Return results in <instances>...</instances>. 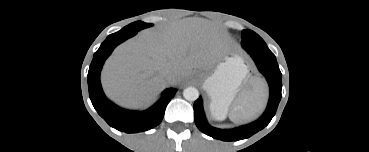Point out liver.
<instances>
[{
	"instance_id": "obj_1",
	"label": "liver",
	"mask_w": 369,
	"mask_h": 152,
	"mask_svg": "<svg viewBox=\"0 0 369 152\" xmlns=\"http://www.w3.org/2000/svg\"><path fill=\"white\" fill-rule=\"evenodd\" d=\"M223 39L220 28L205 19L142 31L120 45L105 63L101 76L105 93L124 107L148 106L167 86L209 65L220 54ZM259 87L263 88L256 84L253 89Z\"/></svg>"
}]
</instances>
